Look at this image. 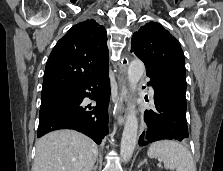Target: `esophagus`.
I'll use <instances>...</instances> for the list:
<instances>
[{
  "label": "esophagus",
  "instance_id": "obj_1",
  "mask_svg": "<svg viewBox=\"0 0 223 171\" xmlns=\"http://www.w3.org/2000/svg\"><path fill=\"white\" fill-rule=\"evenodd\" d=\"M129 60L126 56H124L121 60L120 63V71L121 73L126 72V68L128 66ZM129 97V88L124 81L123 84L121 85L120 92H119V102H120V108H119V113L117 117V123L119 126H122L125 121V116H126V105Z\"/></svg>",
  "mask_w": 223,
  "mask_h": 171
}]
</instances>
